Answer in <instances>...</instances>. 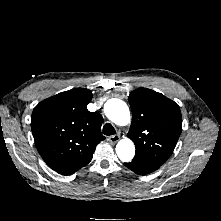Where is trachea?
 I'll use <instances>...</instances> for the list:
<instances>
[{"label":"trachea","instance_id":"obj_1","mask_svg":"<svg viewBox=\"0 0 221 221\" xmlns=\"http://www.w3.org/2000/svg\"><path fill=\"white\" fill-rule=\"evenodd\" d=\"M103 134L107 135V136H111V135L116 134V131H115L114 127L110 123H106L103 126Z\"/></svg>","mask_w":221,"mask_h":221}]
</instances>
